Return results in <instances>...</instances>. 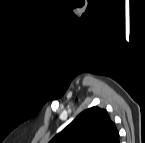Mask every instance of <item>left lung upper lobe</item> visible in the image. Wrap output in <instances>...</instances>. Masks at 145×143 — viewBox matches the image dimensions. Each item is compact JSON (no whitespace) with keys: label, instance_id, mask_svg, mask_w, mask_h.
I'll list each match as a JSON object with an SVG mask.
<instances>
[{"label":"left lung upper lobe","instance_id":"obj_1","mask_svg":"<svg viewBox=\"0 0 145 143\" xmlns=\"http://www.w3.org/2000/svg\"><path fill=\"white\" fill-rule=\"evenodd\" d=\"M50 143H119V133L106 110L92 107L80 113Z\"/></svg>","mask_w":145,"mask_h":143}]
</instances>
